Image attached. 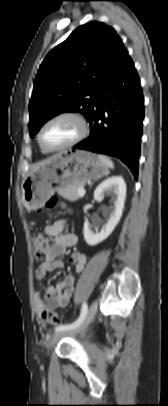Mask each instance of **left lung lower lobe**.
<instances>
[{"label":"left lung lower lobe","mask_w":168,"mask_h":406,"mask_svg":"<svg viewBox=\"0 0 168 406\" xmlns=\"http://www.w3.org/2000/svg\"><path fill=\"white\" fill-rule=\"evenodd\" d=\"M143 119L140 79L124 49L100 87L90 136L74 148L117 157L136 178Z\"/></svg>","instance_id":"obj_1"}]
</instances>
